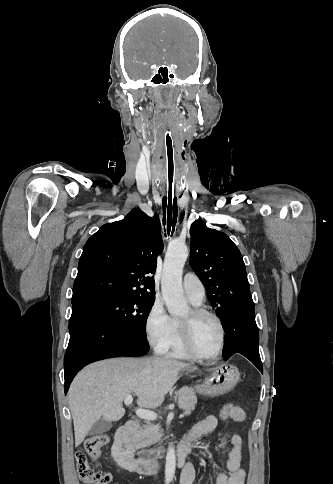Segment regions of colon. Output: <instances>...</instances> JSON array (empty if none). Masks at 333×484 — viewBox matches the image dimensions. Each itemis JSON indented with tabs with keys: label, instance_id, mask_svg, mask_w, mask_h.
I'll return each instance as SVG.
<instances>
[{
	"label": "colon",
	"instance_id": "1",
	"mask_svg": "<svg viewBox=\"0 0 333 484\" xmlns=\"http://www.w3.org/2000/svg\"><path fill=\"white\" fill-rule=\"evenodd\" d=\"M236 405L225 404L220 410V416L227 418ZM109 443V437L105 434L88 438L84 443V451L75 455L79 478L87 484H108L111 475L101 470L97 463L101 449Z\"/></svg>",
	"mask_w": 333,
	"mask_h": 484
}]
</instances>
